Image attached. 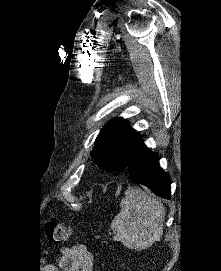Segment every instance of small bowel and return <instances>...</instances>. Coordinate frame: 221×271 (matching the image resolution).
Returning <instances> with one entry per match:
<instances>
[{
  "instance_id": "small-bowel-1",
  "label": "small bowel",
  "mask_w": 221,
  "mask_h": 271,
  "mask_svg": "<svg viewBox=\"0 0 221 271\" xmlns=\"http://www.w3.org/2000/svg\"><path fill=\"white\" fill-rule=\"evenodd\" d=\"M58 264L65 271H93L94 256L84 244L77 243L61 249Z\"/></svg>"
}]
</instances>
